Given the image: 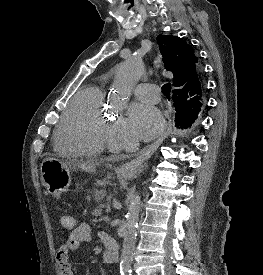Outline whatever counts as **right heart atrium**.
<instances>
[{
	"instance_id": "right-heart-atrium-1",
	"label": "right heart atrium",
	"mask_w": 263,
	"mask_h": 275,
	"mask_svg": "<svg viewBox=\"0 0 263 275\" xmlns=\"http://www.w3.org/2000/svg\"><path fill=\"white\" fill-rule=\"evenodd\" d=\"M108 141L114 149L128 146L131 143L130 139L123 132L120 124H115L109 127Z\"/></svg>"
}]
</instances>
